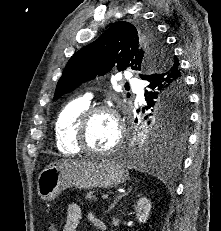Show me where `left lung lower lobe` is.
<instances>
[{"label": "left lung lower lobe", "instance_id": "0a47b994", "mask_svg": "<svg viewBox=\"0 0 221 231\" xmlns=\"http://www.w3.org/2000/svg\"><path fill=\"white\" fill-rule=\"evenodd\" d=\"M177 62L178 60L173 58L170 60V62L168 61L164 68H162L160 71L145 75L142 78L149 83L145 90L146 103L158 98L164 109L175 105L177 100L173 99V95L170 97L173 90L179 88L185 89L184 77ZM183 143L184 141L170 142L164 138H161L160 136L154 135L147 146L135 152L134 158H136L138 161L155 160V158L164 149L172 150V155L174 156V153H178L180 151ZM174 160L178 161L176 160V156Z\"/></svg>", "mask_w": 221, "mask_h": 231}]
</instances>
